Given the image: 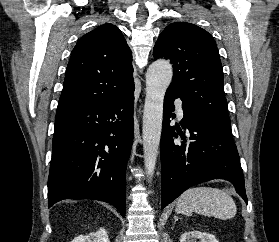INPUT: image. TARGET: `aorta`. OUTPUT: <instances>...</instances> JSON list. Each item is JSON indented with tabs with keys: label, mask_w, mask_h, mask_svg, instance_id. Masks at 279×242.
Instances as JSON below:
<instances>
[{
	"label": "aorta",
	"mask_w": 279,
	"mask_h": 242,
	"mask_svg": "<svg viewBox=\"0 0 279 242\" xmlns=\"http://www.w3.org/2000/svg\"><path fill=\"white\" fill-rule=\"evenodd\" d=\"M173 69L169 61H154L146 73V98L143 111V150L146 173L151 179L157 156L163 121V102L171 83Z\"/></svg>",
	"instance_id": "obj_1"
}]
</instances>
